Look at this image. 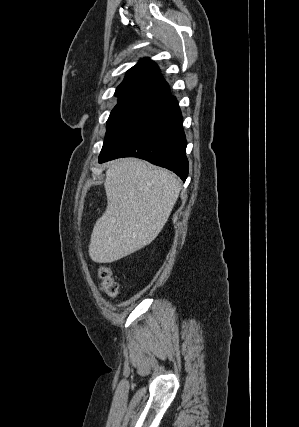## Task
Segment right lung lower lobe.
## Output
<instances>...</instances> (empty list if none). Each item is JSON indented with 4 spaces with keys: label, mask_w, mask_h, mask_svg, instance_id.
<instances>
[{
    "label": "right lung lower lobe",
    "mask_w": 299,
    "mask_h": 427,
    "mask_svg": "<svg viewBox=\"0 0 299 427\" xmlns=\"http://www.w3.org/2000/svg\"><path fill=\"white\" fill-rule=\"evenodd\" d=\"M186 138L182 115L174 96L156 102L152 108L108 150L99 163L120 157H138L174 171L183 181L188 176Z\"/></svg>",
    "instance_id": "obj_1"
}]
</instances>
